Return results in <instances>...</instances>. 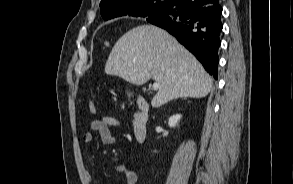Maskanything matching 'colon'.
<instances>
[{
	"label": "colon",
	"instance_id": "5ec220e1",
	"mask_svg": "<svg viewBox=\"0 0 293 184\" xmlns=\"http://www.w3.org/2000/svg\"><path fill=\"white\" fill-rule=\"evenodd\" d=\"M103 44L107 45V42L104 41ZM89 110L92 114L96 113V107H95V104L93 101H90V103H89Z\"/></svg>",
	"mask_w": 293,
	"mask_h": 184
}]
</instances>
